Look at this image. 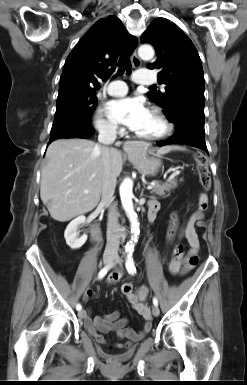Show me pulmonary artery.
Masks as SVG:
<instances>
[{
  "label": "pulmonary artery",
  "instance_id": "1",
  "mask_svg": "<svg viewBox=\"0 0 247 385\" xmlns=\"http://www.w3.org/2000/svg\"><path fill=\"white\" fill-rule=\"evenodd\" d=\"M133 81L138 84H154L156 82L155 77L144 69L139 70L133 75ZM106 90L112 96H122L127 92L128 87L125 82L116 80L110 82Z\"/></svg>",
  "mask_w": 247,
  "mask_h": 385
}]
</instances>
